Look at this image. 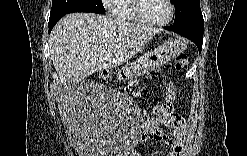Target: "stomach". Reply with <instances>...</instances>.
Listing matches in <instances>:
<instances>
[{
    "label": "stomach",
    "instance_id": "0dacf381",
    "mask_svg": "<svg viewBox=\"0 0 247 156\" xmlns=\"http://www.w3.org/2000/svg\"><path fill=\"white\" fill-rule=\"evenodd\" d=\"M185 49V44L179 39H169L154 51L145 53L135 63H132L124 68L123 76L126 78L131 77L132 71L137 64L144 68L146 71H152L160 68L162 65L168 63L176 58Z\"/></svg>",
    "mask_w": 247,
    "mask_h": 156
}]
</instances>
